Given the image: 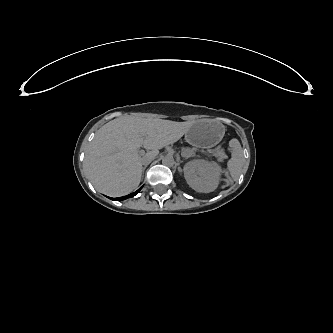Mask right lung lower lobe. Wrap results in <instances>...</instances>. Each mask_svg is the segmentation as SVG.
I'll return each instance as SVG.
<instances>
[{
    "mask_svg": "<svg viewBox=\"0 0 333 333\" xmlns=\"http://www.w3.org/2000/svg\"><path fill=\"white\" fill-rule=\"evenodd\" d=\"M141 189V188H140ZM140 189L139 190H137L135 193H133V194H136V193H138L139 191H140ZM128 196H130V195H128Z\"/></svg>",
    "mask_w": 333,
    "mask_h": 333,
    "instance_id": "1",
    "label": "right lung lower lobe"
}]
</instances>
